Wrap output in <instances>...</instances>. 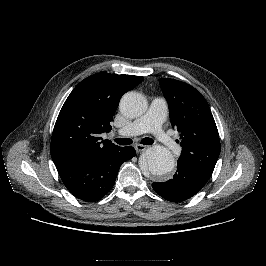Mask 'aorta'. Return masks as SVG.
<instances>
[{
    "label": "aorta",
    "mask_w": 266,
    "mask_h": 266,
    "mask_svg": "<svg viewBox=\"0 0 266 266\" xmlns=\"http://www.w3.org/2000/svg\"><path fill=\"white\" fill-rule=\"evenodd\" d=\"M121 113L129 118L141 116L147 108V103L141 94L137 92L126 93L119 105ZM175 160L171 152L159 145L147 149L140 159V167L143 171H149L154 176H163L174 169Z\"/></svg>",
    "instance_id": "762f6f07"
}]
</instances>
